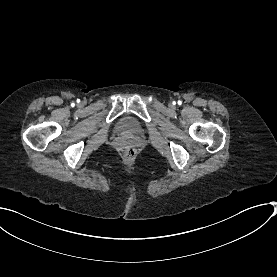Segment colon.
<instances>
[{"mask_svg": "<svg viewBox=\"0 0 277 277\" xmlns=\"http://www.w3.org/2000/svg\"><path fill=\"white\" fill-rule=\"evenodd\" d=\"M123 155H124L125 159H127L129 161H134V160L138 159V157L140 155V150H139L138 146H136L134 144H129V145L125 146V148L123 150Z\"/></svg>", "mask_w": 277, "mask_h": 277, "instance_id": "1", "label": "colon"}]
</instances>
